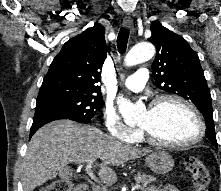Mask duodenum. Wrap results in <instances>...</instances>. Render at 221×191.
Here are the masks:
<instances>
[{
	"mask_svg": "<svg viewBox=\"0 0 221 191\" xmlns=\"http://www.w3.org/2000/svg\"><path fill=\"white\" fill-rule=\"evenodd\" d=\"M74 191H89L87 183H79L75 186Z\"/></svg>",
	"mask_w": 221,
	"mask_h": 191,
	"instance_id": "obj_1",
	"label": "duodenum"
}]
</instances>
